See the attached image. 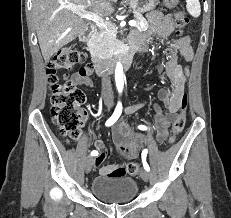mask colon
<instances>
[{
	"mask_svg": "<svg viewBox=\"0 0 231 218\" xmlns=\"http://www.w3.org/2000/svg\"><path fill=\"white\" fill-rule=\"evenodd\" d=\"M167 7L176 9L178 0H165ZM188 22L187 17L180 11L175 12L177 33L182 34ZM85 54L73 46H64L47 61V78L51 90V115L54 124L62 136L70 140H77L81 136V127L84 119V93L68 75H59L60 71L68 70L85 61ZM187 95L183 94L180 102V111L176 116L169 138L173 143L176 137L184 130L186 123ZM140 165L132 162L127 166L130 175L140 172Z\"/></svg>",
	"mask_w": 231,
	"mask_h": 218,
	"instance_id": "1",
	"label": "colon"
}]
</instances>
